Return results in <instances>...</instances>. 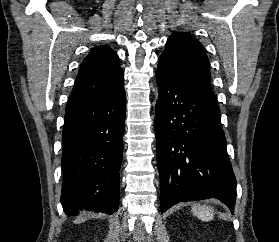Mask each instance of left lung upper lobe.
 <instances>
[{
    "mask_svg": "<svg viewBox=\"0 0 279 242\" xmlns=\"http://www.w3.org/2000/svg\"><path fill=\"white\" fill-rule=\"evenodd\" d=\"M160 57L167 58L178 71L197 82L217 100L210 83L208 57L196 38L185 32L173 33Z\"/></svg>",
    "mask_w": 279,
    "mask_h": 242,
    "instance_id": "obj_1",
    "label": "left lung upper lobe"
}]
</instances>
